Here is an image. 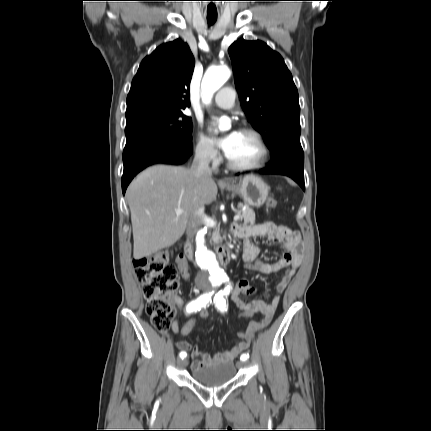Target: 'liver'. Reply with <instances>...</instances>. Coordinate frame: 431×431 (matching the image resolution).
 I'll use <instances>...</instances> for the list:
<instances>
[{"instance_id": "1", "label": "liver", "mask_w": 431, "mask_h": 431, "mask_svg": "<svg viewBox=\"0 0 431 431\" xmlns=\"http://www.w3.org/2000/svg\"><path fill=\"white\" fill-rule=\"evenodd\" d=\"M217 186L185 167L155 165L141 172L126 191L133 229L134 259L172 246L201 206L212 203ZM183 213L177 215L175 210Z\"/></svg>"}]
</instances>
